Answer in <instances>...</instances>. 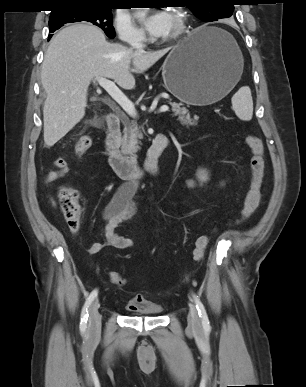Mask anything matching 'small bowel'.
Returning a JSON list of instances; mask_svg holds the SVG:
<instances>
[{
	"label": "small bowel",
	"mask_w": 306,
	"mask_h": 387,
	"mask_svg": "<svg viewBox=\"0 0 306 387\" xmlns=\"http://www.w3.org/2000/svg\"><path fill=\"white\" fill-rule=\"evenodd\" d=\"M55 170H50L45 175L46 183H53L64 178L69 167L66 160L60 156L53 158ZM189 187L194 186L192 180L187 181ZM135 185L132 183L122 186L105 206L102 217L104 220V242H94L87 247L90 254L100 252L104 247H113L116 249H130L134 246V241L131 238L122 236L116 232V228L124 221L130 219L135 211L136 205L133 200ZM144 303L141 296L135 297L127 305L128 310H135Z\"/></svg>",
	"instance_id": "c3829d8e"
}]
</instances>
